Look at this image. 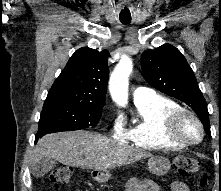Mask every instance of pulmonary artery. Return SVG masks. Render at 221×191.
Segmentation results:
<instances>
[{"label":"pulmonary artery","mask_w":221,"mask_h":191,"mask_svg":"<svg viewBox=\"0 0 221 191\" xmlns=\"http://www.w3.org/2000/svg\"><path fill=\"white\" fill-rule=\"evenodd\" d=\"M155 96V91L147 87L138 86L133 91L134 103L146 102L153 99Z\"/></svg>","instance_id":"1"}]
</instances>
